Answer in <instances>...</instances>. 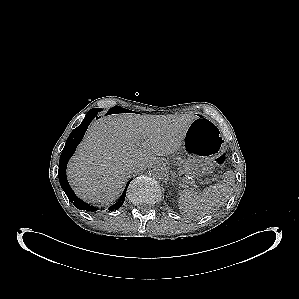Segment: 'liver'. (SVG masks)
<instances>
[{"instance_id": "obj_1", "label": "liver", "mask_w": 299, "mask_h": 299, "mask_svg": "<svg viewBox=\"0 0 299 299\" xmlns=\"http://www.w3.org/2000/svg\"><path fill=\"white\" fill-rule=\"evenodd\" d=\"M194 115L114 114L94 121L67 167V178L84 201L109 205L131 173L183 144ZM130 167H134L131 170Z\"/></svg>"}]
</instances>
